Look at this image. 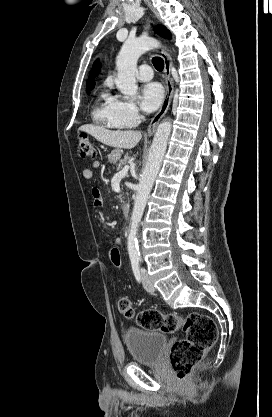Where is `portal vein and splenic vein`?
<instances>
[{"label":"portal vein and splenic vein","instance_id":"obj_1","mask_svg":"<svg viewBox=\"0 0 272 417\" xmlns=\"http://www.w3.org/2000/svg\"><path fill=\"white\" fill-rule=\"evenodd\" d=\"M128 170H129V166L126 165V166H124V168L118 174L121 175V176H124L128 173Z\"/></svg>","mask_w":272,"mask_h":417}]
</instances>
